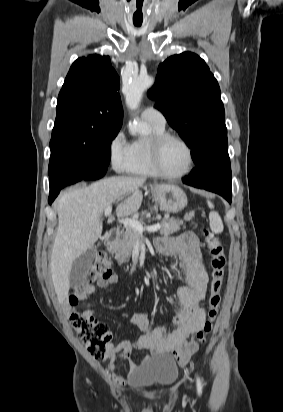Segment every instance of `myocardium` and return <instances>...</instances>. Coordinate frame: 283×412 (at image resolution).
Returning <instances> with one entry per match:
<instances>
[{
    "mask_svg": "<svg viewBox=\"0 0 283 412\" xmlns=\"http://www.w3.org/2000/svg\"><path fill=\"white\" fill-rule=\"evenodd\" d=\"M170 140H177L180 143H182L185 148L188 151L189 155V164L187 168L180 173H168L163 170L161 166V153L164 145L166 142ZM151 159H152V164L153 167L157 173L158 176H161L163 178H169V179H178V178H183L186 175H188L194 168L195 165V155H194V150L191 144L182 136L176 134V133H171V132H165L161 135H158L157 137L154 138L152 145H151Z\"/></svg>",
    "mask_w": 283,
    "mask_h": 412,
    "instance_id": "1",
    "label": "myocardium"
}]
</instances>
